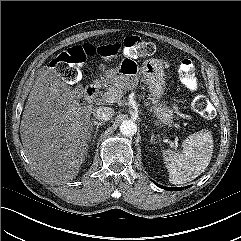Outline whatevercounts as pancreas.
Wrapping results in <instances>:
<instances>
[{"mask_svg": "<svg viewBox=\"0 0 241 241\" xmlns=\"http://www.w3.org/2000/svg\"><path fill=\"white\" fill-rule=\"evenodd\" d=\"M107 92L111 93V94H120V96L122 95V90L119 86H115V85H109V87L107 88Z\"/></svg>", "mask_w": 241, "mask_h": 241, "instance_id": "1", "label": "pancreas"}]
</instances>
